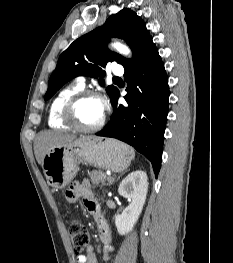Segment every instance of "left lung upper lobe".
Instances as JSON below:
<instances>
[{"label":"left lung upper lobe","mask_w":233,"mask_h":263,"mask_svg":"<svg viewBox=\"0 0 233 263\" xmlns=\"http://www.w3.org/2000/svg\"><path fill=\"white\" fill-rule=\"evenodd\" d=\"M121 38L127 41L133 52L132 59L111 52L106 48L110 38ZM152 40L145 23L129 9H122L110 16L102 27L75 40L59 57L57 67L52 73L44 99L51 98L65 83L77 76L104 77L102 70L109 61L127 66ZM100 83H104L102 79ZM107 94L111 101L118 92L114 86H108Z\"/></svg>","instance_id":"1"}]
</instances>
